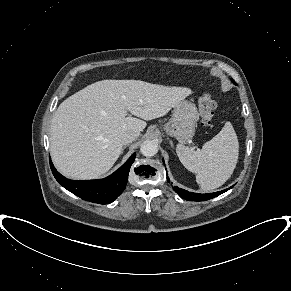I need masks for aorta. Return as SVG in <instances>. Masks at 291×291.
Wrapping results in <instances>:
<instances>
[{
  "label": "aorta",
  "mask_w": 291,
  "mask_h": 291,
  "mask_svg": "<svg viewBox=\"0 0 291 291\" xmlns=\"http://www.w3.org/2000/svg\"><path fill=\"white\" fill-rule=\"evenodd\" d=\"M140 152L143 156L152 157L158 152V144L153 140H146L141 144Z\"/></svg>",
  "instance_id": "762f6f07"
}]
</instances>
